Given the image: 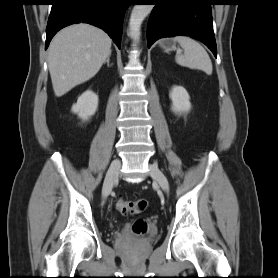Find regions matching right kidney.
<instances>
[{"instance_id":"right-kidney-1","label":"right kidney","mask_w":278,"mask_h":278,"mask_svg":"<svg viewBox=\"0 0 278 278\" xmlns=\"http://www.w3.org/2000/svg\"><path fill=\"white\" fill-rule=\"evenodd\" d=\"M98 107V95L91 90L85 91L71 108L72 112L86 121L95 114Z\"/></svg>"}]
</instances>
